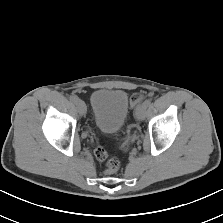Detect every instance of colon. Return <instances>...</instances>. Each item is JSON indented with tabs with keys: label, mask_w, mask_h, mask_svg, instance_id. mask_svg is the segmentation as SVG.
<instances>
[{
	"label": "colon",
	"mask_w": 223,
	"mask_h": 223,
	"mask_svg": "<svg viewBox=\"0 0 223 223\" xmlns=\"http://www.w3.org/2000/svg\"><path fill=\"white\" fill-rule=\"evenodd\" d=\"M146 95L147 94L145 92L134 93L130 99L131 106L135 108L139 103H141L145 99ZM94 154L99 161H105L107 173L113 174L117 172L121 164L119 158H108L107 152L102 146H97L94 150Z\"/></svg>",
	"instance_id": "1"
}]
</instances>
